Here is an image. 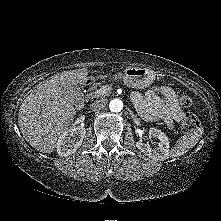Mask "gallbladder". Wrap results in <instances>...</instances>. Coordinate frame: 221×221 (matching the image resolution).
Segmentation results:
<instances>
[{"mask_svg":"<svg viewBox=\"0 0 221 221\" xmlns=\"http://www.w3.org/2000/svg\"><path fill=\"white\" fill-rule=\"evenodd\" d=\"M67 93L64 95L67 96L74 104H80L81 102V90L78 85H67Z\"/></svg>","mask_w":221,"mask_h":221,"instance_id":"obj_1","label":"gallbladder"}]
</instances>
